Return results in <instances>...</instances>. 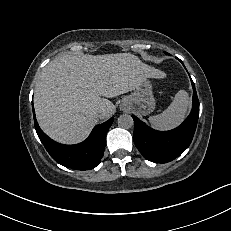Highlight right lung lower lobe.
<instances>
[{
    "mask_svg": "<svg viewBox=\"0 0 231 231\" xmlns=\"http://www.w3.org/2000/svg\"><path fill=\"white\" fill-rule=\"evenodd\" d=\"M33 115L37 135L57 163L77 170H90L99 164L105 149L106 133L114 121L113 117L96 125L90 136L82 143L63 145L44 134L36 121L34 112Z\"/></svg>",
    "mask_w": 231,
    "mask_h": 231,
    "instance_id": "1",
    "label": "right lung lower lobe"
}]
</instances>
